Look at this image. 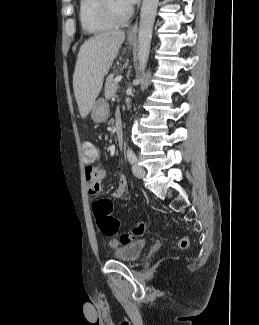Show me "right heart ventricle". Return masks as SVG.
<instances>
[{
	"mask_svg": "<svg viewBox=\"0 0 259 325\" xmlns=\"http://www.w3.org/2000/svg\"><path fill=\"white\" fill-rule=\"evenodd\" d=\"M98 6L99 0H79V22L81 29L87 34H99L114 25L100 16Z\"/></svg>",
	"mask_w": 259,
	"mask_h": 325,
	"instance_id": "1",
	"label": "right heart ventricle"
}]
</instances>
